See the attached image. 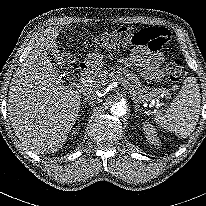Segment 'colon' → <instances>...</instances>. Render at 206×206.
<instances>
[{
    "label": "colon",
    "mask_w": 206,
    "mask_h": 206,
    "mask_svg": "<svg viewBox=\"0 0 206 206\" xmlns=\"http://www.w3.org/2000/svg\"><path fill=\"white\" fill-rule=\"evenodd\" d=\"M170 40V32L164 28H146L133 31L127 27L115 29L99 39V43L106 47H119L126 44L147 45L150 51L157 52ZM170 82L179 83L184 75L185 66L180 59L167 61L164 65ZM75 75V68L71 70Z\"/></svg>",
    "instance_id": "5ec220e1"
}]
</instances>
